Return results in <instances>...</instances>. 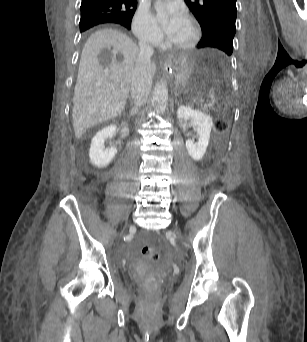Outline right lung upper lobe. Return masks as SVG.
Here are the masks:
<instances>
[{
	"label": "right lung upper lobe",
	"instance_id": "right-lung-upper-lobe-1",
	"mask_svg": "<svg viewBox=\"0 0 307 342\" xmlns=\"http://www.w3.org/2000/svg\"><path fill=\"white\" fill-rule=\"evenodd\" d=\"M136 0H82L81 10H110L119 14L116 23L131 28V20L136 10Z\"/></svg>",
	"mask_w": 307,
	"mask_h": 342
}]
</instances>
